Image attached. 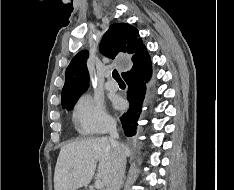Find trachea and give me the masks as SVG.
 <instances>
[{"label":"trachea","mask_w":234,"mask_h":190,"mask_svg":"<svg viewBox=\"0 0 234 190\" xmlns=\"http://www.w3.org/2000/svg\"><path fill=\"white\" fill-rule=\"evenodd\" d=\"M112 75H113V78H114L116 81H122V79H121V77H120V75H119V73H118V71H117L116 69L113 70Z\"/></svg>","instance_id":"3493384b"}]
</instances>
